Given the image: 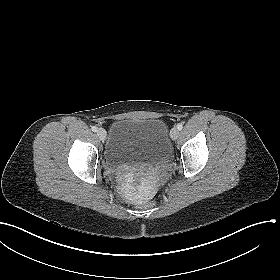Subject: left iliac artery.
<instances>
[{"label": "left iliac artery", "instance_id": "left-iliac-artery-1", "mask_svg": "<svg viewBox=\"0 0 280 280\" xmlns=\"http://www.w3.org/2000/svg\"><path fill=\"white\" fill-rule=\"evenodd\" d=\"M177 128H178V130H181V129L183 128V125H182L181 123H179V124L177 125Z\"/></svg>", "mask_w": 280, "mask_h": 280}]
</instances>
